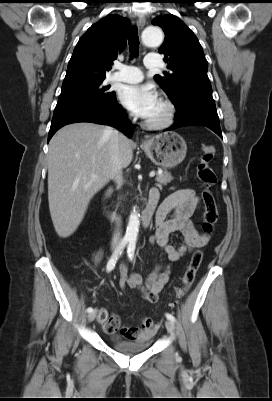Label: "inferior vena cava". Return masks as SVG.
<instances>
[{"label": "inferior vena cava", "mask_w": 272, "mask_h": 401, "mask_svg": "<svg viewBox=\"0 0 272 401\" xmlns=\"http://www.w3.org/2000/svg\"><path fill=\"white\" fill-rule=\"evenodd\" d=\"M106 132L110 136V158H111L112 179L117 184V187L120 188L123 184L122 165L120 161V140L125 138V136L111 127H108ZM120 241H121V232L119 231V229H116L112 237V244L118 245Z\"/></svg>", "instance_id": "1"}]
</instances>
